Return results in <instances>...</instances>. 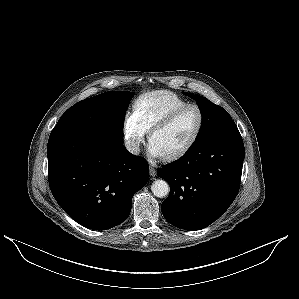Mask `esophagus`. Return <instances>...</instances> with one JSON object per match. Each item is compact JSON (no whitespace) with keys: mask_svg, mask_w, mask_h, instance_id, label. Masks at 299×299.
I'll use <instances>...</instances> for the list:
<instances>
[{"mask_svg":"<svg viewBox=\"0 0 299 299\" xmlns=\"http://www.w3.org/2000/svg\"><path fill=\"white\" fill-rule=\"evenodd\" d=\"M149 174L154 177L156 175V170L154 167L149 166Z\"/></svg>","mask_w":299,"mask_h":299,"instance_id":"esophagus-1","label":"esophagus"}]
</instances>
